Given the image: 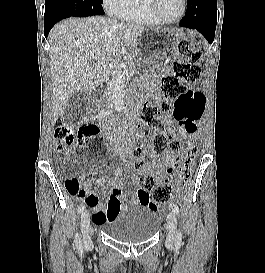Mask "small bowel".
<instances>
[{"mask_svg": "<svg viewBox=\"0 0 265 273\" xmlns=\"http://www.w3.org/2000/svg\"><path fill=\"white\" fill-rule=\"evenodd\" d=\"M181 59V58H180ZM183 129H179L178 134L180 137L182 135ZM111 151L115 155H129L132 151L130 145L119 147L113 145ZM149 157L152 159V162L143 164L141 161V172L143 174H153L156 175L159 179H162L167 173L172 172L174 166L179 160V153L172 150H166L162 155H157L153 152L149 153ZM127 165L131 166L129 162ZM122 169L116 167L110 176L100 177L96 182L86 181L85 182V195L78 197L85 206H88L93 209L92 221L96 227H103L108 223L120 210L126 207L125 203H122L121 200L125 198V194L122 191L121 185V176ZM132 179L134 187V198L130 200L132 204H150L151 203V192L150 190H145L144 186H139L141 179L138 177L136 172L132 170ZM109 185L112 188V194L106 202L96 194L93 189L95 187Z\"/></svg>", "mask_w": 265, "mask_h": 273, "instance_id": "1", "label": "small bowel"}]
</instances>
